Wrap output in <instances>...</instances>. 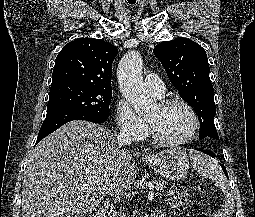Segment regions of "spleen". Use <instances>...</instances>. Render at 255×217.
I'll return each mask as SVG.
<instances>
[{"instance_id": "1", "label": "spleen", "mask_w": 255, "mask_h": 217, "mask_svg": "<svg viewBox=\"0 0 255 217\" xmlns=\"http://www.w3.org/2000/svg\"><path fill=\"white\" fill-rule=\"evenodd\" d=\"M192 165L200 174L210 176L215 181H221L223 179V174L218 164L204 155H194L192 157Z\"/></svg>"}]
</instances>
